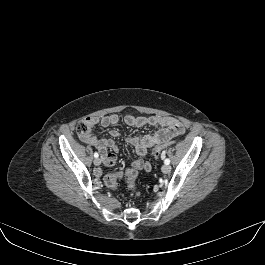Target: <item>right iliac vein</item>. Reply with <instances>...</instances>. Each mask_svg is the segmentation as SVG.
I'll return each instance as SVG.
<instances>
[{
	"label": "right iliac vein",
	"instance_id": "1",
	"mask_svg": "<svg viewBox=\"0 0 265 265\" xmlns=\"http://www.w3.org/2000/svg\"><path fill=\"white\" fill-rule=\"evenodd\" d=\"M94 164H95L96 166H99V165L101 164V159H100V158H96V159L94 160Z\"/></svg>",
	"mask_w": 265,
	"mask_h": 265
}]
</instances>
